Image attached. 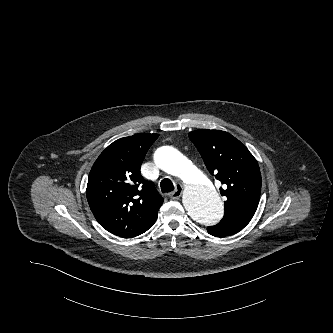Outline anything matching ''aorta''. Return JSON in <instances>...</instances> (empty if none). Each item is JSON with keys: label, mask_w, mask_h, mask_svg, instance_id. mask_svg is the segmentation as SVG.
<instances>
[{"label": "aorta", "mask_w": 333, "mask_h": 333, "mask_svg": "<svg viewBox=\"0 0 333 333\" xmlns=\"http://www.w3.org/2000/svg\"><path fill=\"white\" fill-rule=\"evenodd\" d=\"M155 164L163 171L178 175L184 183L182 203L196 222L211 226L223 216L221 198L204 173L173 147H160L154 156Z\"/></svg>", "instance_id": "aorta-1"}]
</instances>
